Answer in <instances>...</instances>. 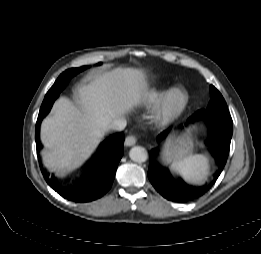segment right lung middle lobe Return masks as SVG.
I'll list each match as a JSON object with an SVG mask.
<instances>
[{
  "instance_id": "obj_1",
  "label": "right lung middle lobe",
  "mask_w": 261,
  "mask_h": 254,
  "mask_svg": "<svg viewBox=\"0 0 261 254\" xmlns=\"http://www.w3.org/2000/svg\"><path fill=\"white\" fill-rule=\"evenodd\" d=\"M98 65H100V63ZM86 68H88V66L80 67V68H73V69H69V70H66L65 72H63L58 77V79L56 80L54 85L47 92L46 96L61 92L64 89L65 85L69 82V80L71 79L72 76H74L75 74L79 73L80 71H82Z\"/></svg>"
}]
</instances>
